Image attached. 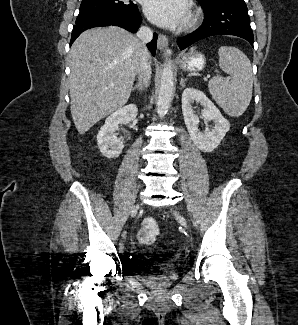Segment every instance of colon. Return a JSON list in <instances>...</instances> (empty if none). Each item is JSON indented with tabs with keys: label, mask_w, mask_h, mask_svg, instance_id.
Segmentation results:
<instances>
[{
	"label": "colon",
	"mask_w": 298,
	"mask_h": 325,
	"mask_svg": "<svg viewBox=\"0 0 298 325\" xmlns=\"http://www.w3.org/2000/svg\"><path fill=\"white\" fill-rule=\"evenodd\" d=\"M159 226L155 219L146 218L138 232V240L144 245H150L157 239Z\"/></svg>",
	"instance_id": "colon-1"
}]
</instances>
